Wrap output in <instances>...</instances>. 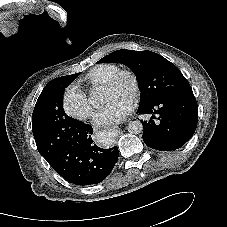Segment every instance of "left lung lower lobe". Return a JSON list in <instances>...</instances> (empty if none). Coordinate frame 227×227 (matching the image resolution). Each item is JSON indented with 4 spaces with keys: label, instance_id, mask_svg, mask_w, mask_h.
<instances>
[{
    "label": "left lung lower lobe",
    "instance_id": "0a47b994",
    "mask_svg": "<svg viewBox=\"0 0 227 227\" xmlns=\"http://www.w3.org/2000/svg\"><path fill=\"white\" fill-rule=\"evenodd\" d=\"M138 114H151L143 121V141L153 149L169 151L182 147L194 134L198 107L193 93L179 94L139 107ZM158 123H155L156 115Z\"/></svg>",
    "mask_w": 227,
    "mask_h": 227
}]
</instances>
